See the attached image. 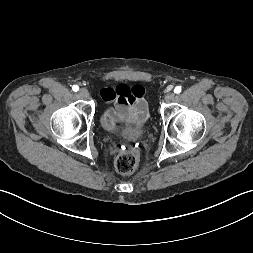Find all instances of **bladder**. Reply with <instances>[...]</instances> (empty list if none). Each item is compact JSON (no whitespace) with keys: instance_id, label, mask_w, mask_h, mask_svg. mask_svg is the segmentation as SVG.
<instances>
[{"instance_id":"bladder-1","label":"bladder","mask_w":253,"mask_h":253,"mask_svg":"<svg viewBox=\"0 0 253 253\" xmlns=\"http://www.w3.org/2000/svg\"><path fill=\"white\" fill-rule=\"evenodd\" d=\"M144 131L141 130V131H136V132H132L130 134V137L133 138V139H136V138H139L143 135Z\"/></svg>"}]
</instances>
